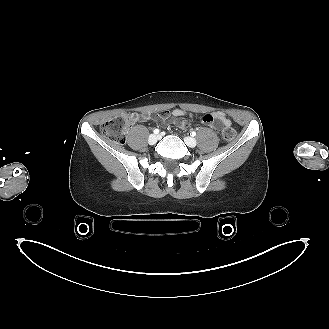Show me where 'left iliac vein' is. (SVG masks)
Instances as JSON below:
<instances>
[{"instance_id":"4c4485c4","label":"left iliac vein","mask_w":329,"mask_h":329,"mask_svg":"<svg viewBox=\"0 0 329 329\" xmlns=\"http://www.w3.org/2000/svg\"><path fill=\"white\" fill-rule=\"evenodd\" d=\"M161 138V136H160ZM185 143L187 144V146L194 148L197 144L196 140L192 137H185L184 138Z\"/></svg>"}]
</instances>
